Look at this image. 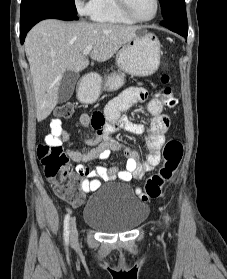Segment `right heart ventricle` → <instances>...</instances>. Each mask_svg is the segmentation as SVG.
<instances>
[{
  "label": "right heart ventricle",
  "mask_w": 227,
  "mask_h": 279,
  "mask_svg": "<svg viewBox=\"0 0 227 279\" xmlns=\"http://www.w3.org/2000/svg\"><path fill=\"white\" fill-rule=\"evenodd\" d=\"M91 17L94 21L114 24H133L135 22L120 10L116 0H99Z\"/></svg>",
  "instance_id": "1"
}]
</instances>
